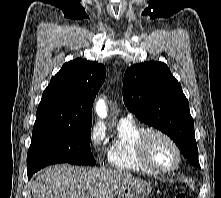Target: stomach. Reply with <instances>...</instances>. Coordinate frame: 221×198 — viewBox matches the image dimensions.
Here are the masks:
<instances>
[{"label": "stomach", "mask_w": 221, "mask_h": 198, "mask_svg": "<svg viewBox=\"0 0 221 198\" xmlns=\"http://www.w3.org/2000/svg\"><path fill=\"white\" fill-rule=\"evenodd\" d=\"M151 190L150 183L141 179H132L123 182L105 198H145Z\"/></svg>", "instance_id": "1"}]
</instances>
